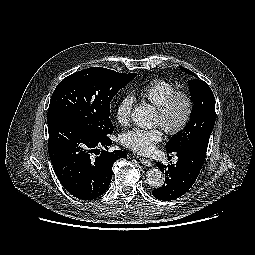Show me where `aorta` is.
I'll return each instance as SVG.
<instances>
[{"mask_svg": "<svg viewBox=\"0 0 255 255\" xmlns=\"http://www.w3.org/2000/svg\"><path fill=\"white\" fill-rule=\"evenodd\" d=\"M132 120L140 128H151L154 125V111L150 105H140L132 111ZM147 183L153 188L164 184L165 177L161 170L152 168L146 172Z\"/></svg>", "mask_w": 255, "mask_h": 255, "instance_id": "aorta-1", "label": "aorta"}]
</instances>
